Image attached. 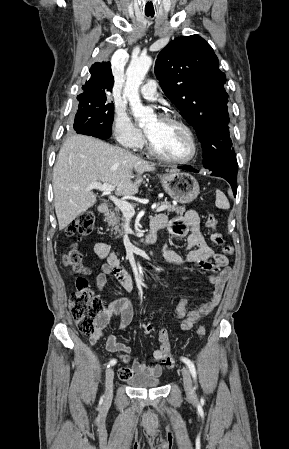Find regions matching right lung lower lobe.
I'll return each instance as SVG.
<instances>
[{
    "label": "right lung lower lobe",
    "instance_id": "1",
    "mask_svg": "<svg viewBox=\"0 0 289 449\" xmlns=\"http://www.w3.org/2000/svg\"><path fill=\"white\" fill-rule=\"evenodd\" d=\"M80 134L94 136V137H97V138H100V139H107V138L110 137V136H105V135L99 134V133H93L91 130L82 131Z\"/></svg>",
    "mask_w": 289,
    "mask_h": 449
}]
</instances>
